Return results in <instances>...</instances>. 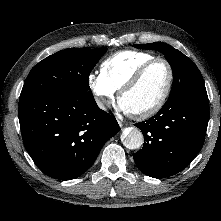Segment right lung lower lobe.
I'll return each mask as SVG.
<instances>
[{"label":"right lung lower lobe","instance_id":"98d812e1","mask_svg":"<svg viewBox=\"0 0 221 221\" xmlns=\"http://www.w3.org/2000/svg\"><path fill=\"white\" fill-rule=\"evenodd\" d=\"M19 122L34 163L59 180L82 175L105 142L119 131L115 117L101 110L92 94L22 98Z\"/></svg>","mask_w":221,"mask_h":221}]
</instances>
